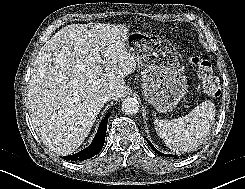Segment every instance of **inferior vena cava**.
Listing matches in <instances>:
<instances>
[{
	"instance_id": "inferior-vena-cava-1",
	"label": "inferior vena cava",
	"mask_w": 245,
	"mask_h": 189,
	"mask_svg": "<svg viewBox=\"0 0 245 189\" xmlns=\"http://www.w3.org/2000/svg\"><path fill=\"white\" fill-rule=\"evenodd\" d=\"M113 96H114V92L112 90L108 89V90L103 92L101 98H102L103 101L106 102V101L111 100L113 98Z\"/></svg>"
}]
</instances>
